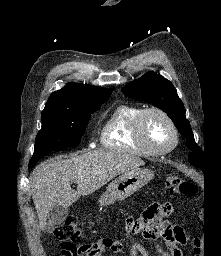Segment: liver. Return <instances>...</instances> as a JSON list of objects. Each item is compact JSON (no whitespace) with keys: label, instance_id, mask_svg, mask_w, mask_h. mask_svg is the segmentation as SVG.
I'll return each mask as SVG.
<instances>
[{"label":"liver","instance_id":"1","mask_svg":"<svg viewBox=\"0 0 221 256\" xmlns=\"http://www.w3.org/2000/svg\"><path fill=\"white\" fill-rule=\"evenodd\" d=\"M144 165L139 157L115 149L94 150L41 163L30 177L40 229L45 227L48 212L54 205L69 207L81 195L92 194L117 175ZM72 183L77 184V190L71 188Z\"/></svg>","mask_w":221,"mask_h":256}]
</instances>
